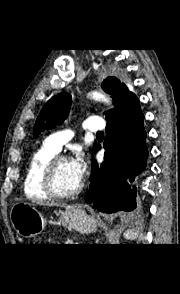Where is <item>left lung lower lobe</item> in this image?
Segmentation results:
<instances>
[{
    "instance_id": "1",
    "label": "left lung lower lobe",
    "mask_w": 180,
    "mask_h": 294,
    "mask_svg": "<svg viewBox=\"0 0 180 294\" xmlns=\"http://www.w3.org/2000/svg\"><path fill=\"white\" fill-rule=\"evenodd\" d=\"M144 115L136 95L109 120L104 141L105 159L100 167L92 159L91 184L85 195L89 203L106 213L133 211L138 175L146 168ZM100 149L97 146L94 153Z\"/></svg>"
}]
</instances>
